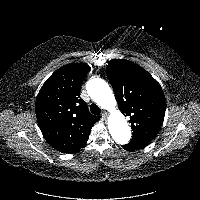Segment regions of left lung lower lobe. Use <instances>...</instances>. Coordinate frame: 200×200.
<instances>
[{
  "instance_id": "1",
  "label": "left lung lower lobe",
  "mask_w": 200,
  "mask_h": 200,
  "mask_svg": "<svg viewBox=\"0 0 200 200\" xmlns=\"http://www.w3.org/2000/svg\"><path fill=\"white\" fill-rule=\"evenodd\" d=\"M122 147L127 151H133L132 148L130 146H128V145H124Z\"/></svg>"
}]
</instances>
